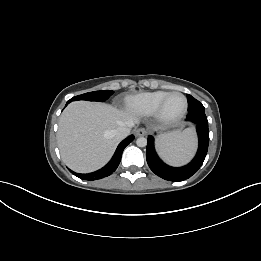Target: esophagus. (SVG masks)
Masks as SVG:
<instances>
[{"label": "esophagus", "instance_id": "esophagus-1", "mask_svg": "<svg viewBox=\"0 0 261 261\" xmlns=\"http://www.w3.org/2000/svg\"><path fill=\"white\" fill-rule=\"evenodd\" d=\"M146 134V130L144 128H139L136 130L137 136H144Z\"/></svg>", "mask_w": 261, "mask_h": 261}]
</instances>
